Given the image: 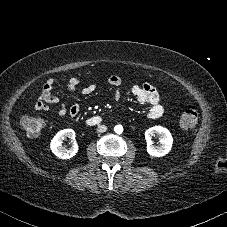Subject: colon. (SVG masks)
Instances as JSON below:
<instances>
[{"label":"colon","instance_id":"5ec220e1","mask_svg":"<svg viewBox=\"0 0 227 227\" xmlns=\"http://www.w3.org/2000/svg\"><path fill=\"white\" fill-rule=\"evenodd\" d=\"M197 122V108L193 104L185 105L179 118L180 127L188 130L193 128ZM20 124L27 134L34 136L42 131L45 126V120L39 116H23L20 120Z\"/></svg>","mask_w":227,"mask_h":227}]
</instances>
